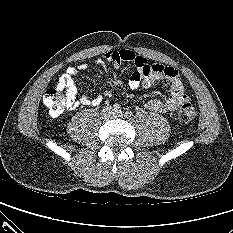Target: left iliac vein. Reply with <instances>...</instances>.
Segmentation results:
<instances>
[{
	"instance_id": "4c4485c4",
	"label": "left iliac vein",
	"mask_w": 233,
	"mask_h": 233,
	"mask_svg": "<svg viewBox=\"0 0 233 233\" xmlns=\"http://www.w3.org/2000/svg\"><path fill=\"white\" fill-rule=\"evenodd\" d=\"M115 116H116V117H123V112H122V111L116 112V113H115Z\"/></svg>"
}]
</instances>
